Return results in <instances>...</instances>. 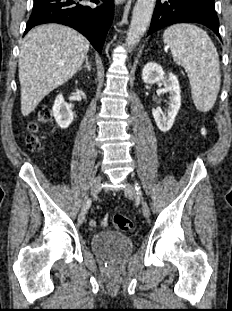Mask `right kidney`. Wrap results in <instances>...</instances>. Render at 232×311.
I'll use <instances>...</instances> for the list:
<instances>
[{
	"label": "right kidney",
	"mask_w": 232,
	"mask_h": 311,
	"mask_svg": "<svg viewBox=\"0 0 232 311\" xmlns=\"http://www.w3.org/2000/svg\"><path fill=\"white\" fill-rule=\"evenodd\" d=\"M52 112L58 126L62 129L68 128L73 121L74 114L71 106L64 101L62 94L56 97Z\"/></svg>",
	"instance_id": "right-kidney-1"
}]
</instances>
